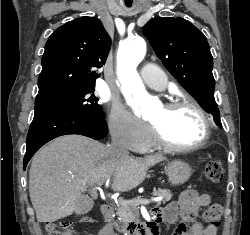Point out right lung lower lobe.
<instances>
[{"label":"right lung lower lobe","instance_id":"obj_1","mask_svg":"<svg viewBox=\"0 0 250 235\" xmlns=\"http://www.w3.org/2000/svg\"><path fill=\"white\" fill-rule=\"evenodd\" d=\"M107 132L108 127L102 117L70 110L38 108L27 135L24 169L41 146L58 136L79 134L99 140Z\"/></svg>","mask_w":250,"mask_h":235}]
</instances>
